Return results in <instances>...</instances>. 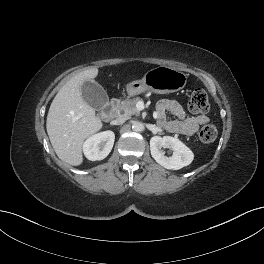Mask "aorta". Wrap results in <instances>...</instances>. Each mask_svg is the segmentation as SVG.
<instances>
[{
  "mask_svg": "<svg viewBox=\"0 0 264 264\" xmlns=\"http://www.w3.org/2000/svg\"><path fill=\"white\" fill-rule=\"evenodd\" d=\"M133 131L142 132L144 130V125L141 122H134L132 126Z\"/></svg>",
  "mask_w": 264,
  "mask_h": 264,
  "instance_id": "762f6f07",
  "label": "aorta"
}]
</instances>
